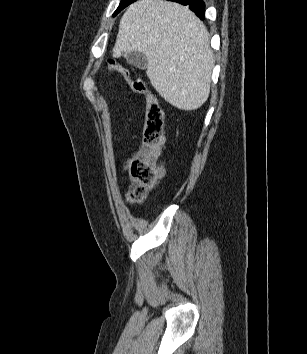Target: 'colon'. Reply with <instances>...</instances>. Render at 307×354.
Returning a JSON list of instances; mask_svg holds the SVG:
<instances>
[{"label":"colon","mask_w":307,"mask_h":354,"mask_svg":"<svg viewBox=\"0 0 307 354\" xmlns=\"http://www.w3.org/2000/svg\"><path fill=\"white\" fill-rule=\"evenodd\" d=\"M109 67L125 80L135 92L145 98L146 117L143 149L137 152L127 163L128 173L132 181L127 200L131 204H138L146 199L163 175V167L158 161V156L164 142V112L157 98L147 89L145 83L140 78H134L128 68L114 61L109 62Z\"/></svg>","instance_id":"5ec220e1"}]
</instances>
